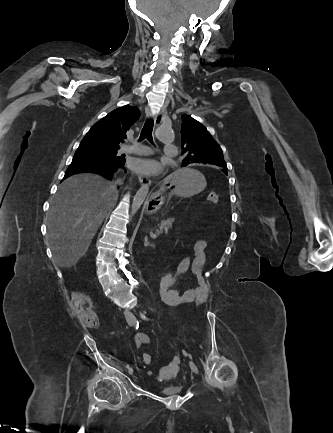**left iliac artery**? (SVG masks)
<instances>
[{"mask_svg":"<svg viewBox=\"0 0 333 433\" xmlns=\"http://www.w3.org/2000/svg\"><path fill=\"white\" fill-rule=\"evenodd\" d=\"M142 318H143L144 320H147V317H145L144 315L142 316ZM183 354L186 355V356H189V358L192 359V356H191L189 353H187L186 351H183Z\"/></svg>","mask_w":333,"mask_h":433,"instance_id":"1","label":"left iliac artery"}]
</instances>
